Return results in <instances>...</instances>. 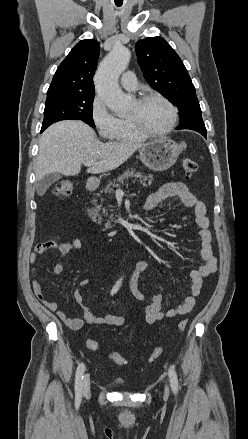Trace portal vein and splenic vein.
Returning a JSON list of instances; mask_svg holds the SVG:
<instances>
[{
    "label": "portal vein and splenic vein",
    "mask_w": 248,
    "mask_h": 439,
    "mask_svg": "<svg viewBox=\"0 0 248 439\" xmlns=\"http://www.w3.org/2000/svg\"><path fill=\"white\" fill-rule=\"evenodd\" d=\"M93 164H95V161H93V160H91V161H86V162L84 163L85 166H92ZM116 193H117V194H122L123 191H122L120 188H118V189L116 190Z\"/></svg>",
    "instance_id": "obj_1"
}]
</instances>
